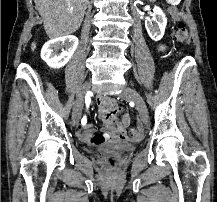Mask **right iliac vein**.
Masks as SVG:
<instances>
[{"label":"right iliac vein","mask_w":217,"mask_h":202,"mask_svg":"<svg viewBox=\"0 0 217 202\" xmlns=\"http://www.w3.org/2000/svg\"><path fill=\"white\" fill-rule=\"evenodd\" d=\"M90 90V83L86 82L77 94L76 102L72 112V123L77 125L82 114V108L84 104V97L86 93Z\"/></svg>","instance_id":"1"}]
</instances>
